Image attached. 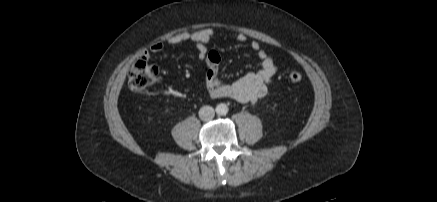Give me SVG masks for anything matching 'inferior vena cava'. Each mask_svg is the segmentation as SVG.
I'll list each match as a JSON object with an SVG mask.
<instances>
[{"instance_id": "1", "label": "inferior vena cava", "mask_w": 437, "mask_h": 202, "mask_svg": "<svg viewBox=\"0 0 437 202\" xmlns=\"http://www.w3.org/2000/svg\"><path fill=\"white\" fill-rule=\"evenodd\" d=\"M215 111L211 106H203L199 110V117L203 121H210L214 118Z\"/></svg>"}]
</instances>
